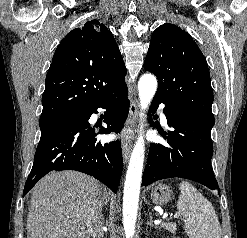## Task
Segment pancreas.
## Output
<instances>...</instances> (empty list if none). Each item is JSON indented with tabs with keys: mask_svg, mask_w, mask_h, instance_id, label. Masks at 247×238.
<instances>
[{
	"mask_svg": "<svg viewBox=\"0 0 247 238\" xmlns=\"http://www.w3.org/2000/svg\"><path fill=\"white\" fill-rule=\"evenodd\" d=\"M161 227L166 229L167 231H169L172 234L176 233V224L175 223H172V222L162 223Z\"/></svg>",
	"mask_w": 247,
	"mask_h": 238,
	"instance_id": "cf45deb5",
	"label": "pancreas"
}]
</instances>
